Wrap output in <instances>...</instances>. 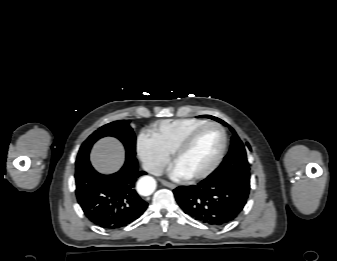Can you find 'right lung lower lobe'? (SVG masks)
I'll return each instance as SVG.
<instances>
[{"instance_id": "right-lung-lower-lobe-1", "label": "right lung lower lobe", "mask_w": 337, "mask_h": 261, "mask_svg": "<svg viewBox=\"0 0 337 261\" xmlns=\"http://www.w3.org/2000/svg\"><path fill=\"white\" fill-rule=\"evenodd\" d=\"M146 174L138 170L135 155L126 153L120 171L102 175L86 159L76 165V197L85 215L105 229H118L138 219L148 204L135 190L137 179Z\"/></svg>"}]
</instances>
